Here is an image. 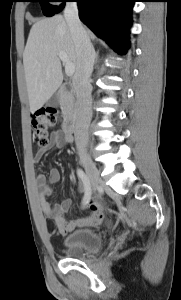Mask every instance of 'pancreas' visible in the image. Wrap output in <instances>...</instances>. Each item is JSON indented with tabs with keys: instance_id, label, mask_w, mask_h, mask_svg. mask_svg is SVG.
Segmentation results:
<instances>
[{
	"instance_id": "pancreas-1",
	"label": "pancreas",
	"mask_w": 181,
	"mask_h": 300,
	"mask_svg": "<svg viewBox=\"0 0 181 300\" xmlns=\"http://www.w3.org/2000/svg\"><path fill=\"white\" fill-rule=\"evenodd\" d=\"M60 106L63 115H68L73 112L74 100L70 93H65L60 99Z\"/></svg>"
}]
</instances>
